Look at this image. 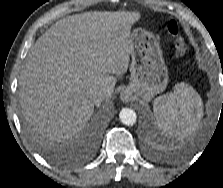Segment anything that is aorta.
Here are the masks:
<instances>
[{
	"label": "aorta",
	"instance_id": "762f6f07",
	"mask_svg": "<svg viewBox=\"0 0 223 188\" xmlns=\"http://www.w3.org/2000/svg\"><path fill=\"white\" fill-rule=\"evenodd\" d=\"M120 121L127 126H132L136 123L137 115L134 110L123 108L119 113Z\"/></svg>",
	"mask_w": 223,
	"mask_h": 188
}]
</instances>
